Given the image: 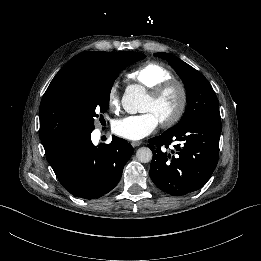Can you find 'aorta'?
Instances as JSON below:
<instances>
[{"mask_svg":"<svg viewBox=\"0 0 261 261\" xmlns=\"http://www.w3.org/2000/svg\"><path fill=\"white\" fill-rule=\"evenodd\" d=\"M145 89L142 86H138V89H133L130 93L126 92V96L129 97L132 109L129 112H146V103L149 104L150 96L144 94ZM128 110V108H127ZM153 154L150 148L141 147L136 152V158L141 163H148L152 160Z\"/></svg>","mask_w":261,"mask_h":261,"instance_id":"762f6f07","label":"aorta"}]
</instances>
